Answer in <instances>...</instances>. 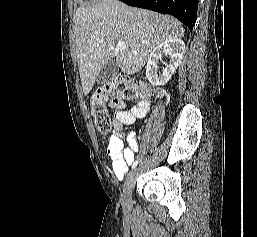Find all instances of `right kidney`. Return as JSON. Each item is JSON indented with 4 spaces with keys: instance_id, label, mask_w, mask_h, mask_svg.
<instances>
[{
    "instance_id": "right-kidney-1",
    "label": "right kidney",
    "mask_w": 257,
    "mask_h": 237,
    "mask_svg": "<svg viewBox=\"0 0 257 237\" xmlns=\"http://www.w3.org/2000/svg\"><path fill=\"white\" fill-rule=\"evenodd\" d=\"M185 51V44L179 38L167 39L158 44L150 53L147 66L146 77L152 85L162 86L166 84L176 71ZM162 55L170 58L162 72L159 71L158 62L162 60Z\"/></svg>"
}]
</instances>
